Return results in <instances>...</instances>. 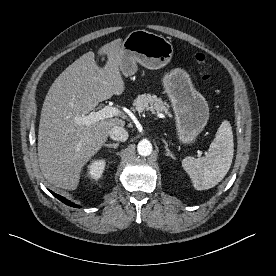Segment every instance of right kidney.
Masks as SVG:
<instances>
[{"label":"right kidney","instance_id":"right-kidney-1","mask_svg":"<svg viewBox=\"0 0 276 276\" xmlns=\"http://www.w3.org/2000/svg\"><path fill=\"white\" fill-rule=\"evenodd\" d=\"M106 166V160L105 159H97L91 162V164L88 166L87 175L94 180H98L104 171V168Z\"/></svg>","mask_w":276,"mask_h":276}]
</instances>
